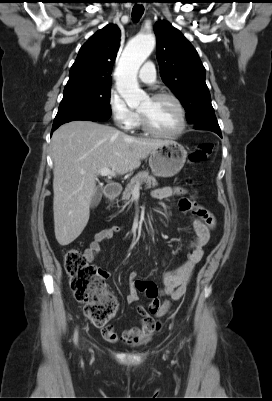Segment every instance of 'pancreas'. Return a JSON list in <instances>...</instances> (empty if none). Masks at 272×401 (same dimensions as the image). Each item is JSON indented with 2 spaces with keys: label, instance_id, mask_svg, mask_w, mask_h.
<instances>
[{
  "label": "pancreas",
  "instance_id": "1",
  "mask_svg": "<svg viewBox=\"0 0 272 401\" xmlns=\"http://www.w3.org/2000/svg\"><path fill=\"white\" fill-rule=\"evenodd\" d=\"M142 184H145L146 188L150 189L156 187L158 185V182L156 181L154 176L149 174L148 170L141 171L137 173L127 184L125 190L122 193L121 200L124 201V203L128 204L134 189L137 186L140 187Z\"/></svg>",
  "mask_w": 272,
  "mask_h": 401
}]
</instances>
